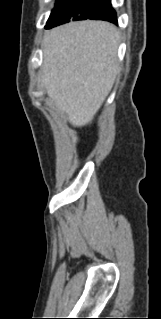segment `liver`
Returning a JSON list of instances; mask_svg holds the SVG:
<instances>
[{"mask_svg": "<svg viewBox=\"0 0 161 319\" xmlns=\"http://www.w3.org/2000/svg\"><path fill=\"white\" fill-rule=\"evenodd\" d=\"M119 30L111 23L70 22L43 38V85L74 127L93 120L119 72Z\"/></svg>", "mask_w": 161, "mask_h": 319, "instance_id": "1", "label": "liver"}]
</instances>
